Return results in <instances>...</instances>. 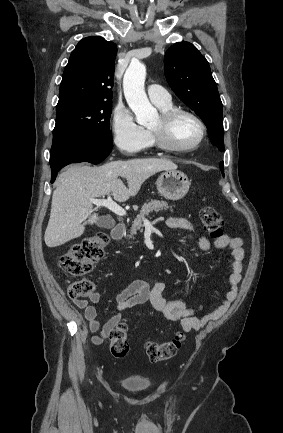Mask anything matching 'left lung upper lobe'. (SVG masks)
<instances>
[{
    "label": "left lung upper lobe",
    "instance_id": "5c2ea615",
    "mask_svg": "<svg viewBox=\"0 0 283 433\" xmlns=\"http://www.w3.org/2000/svg\"><path fill=\"white\" fill-rule=\"evenodd\" d=\"M166 80L205 123L211 143L224 151L222 102L210 66L189 42L172 45L164 56Z\"/></svg>",
    "mask_w": 283,
    "mask_h": 433
}]
</instances>
